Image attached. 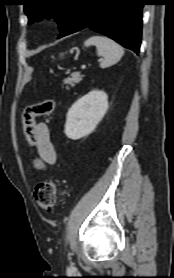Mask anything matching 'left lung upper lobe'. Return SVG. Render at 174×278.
<instances>
[{
	"label": "left lung upper lobe",
	"mask_w": 174,
	"mask_h": 278,
	"mask_svg": "<svg viewBox=\"0 0 174 278\" xmlns=\"http://www.w3.org/2000/svg\"><path fill=\"white\" fill-rule=\"evenodd\" d=\"M81 0H27L24 4V11L29 18L28 24H32L44 11L45 16L52 17L59 21V29L64 27L72 20L79 8Z\"/></svg>",
	"instance_id": "left-lung-upper-lobe-1"
}]
</instances>
